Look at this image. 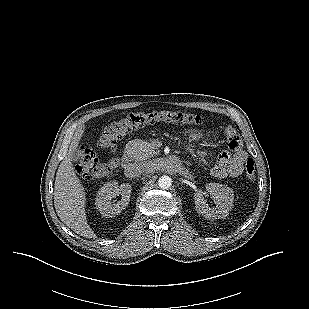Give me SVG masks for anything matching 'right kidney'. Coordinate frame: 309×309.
I'll list each match as a JSON object with an SVG mask.
<instances>
[{"label":"right kidney","mask_w":309,"mask_h":309,"mask_svg":"<svg viewBox=\"0 0 309 309\" xmlns=\"http://www.w3.org/2000/svg\"><path fill=\"white\" fill-rule=\"evenodd\" d=\"M131 186L129 184H121L116 181H111L104 184L98 191L95 205L104 217H113L121 213L126 208L130 201ZM117 195H121V200L116 204H112L111 200Z\"/></svg>","instance_id":"right-kidney-1"}]
</instances>
